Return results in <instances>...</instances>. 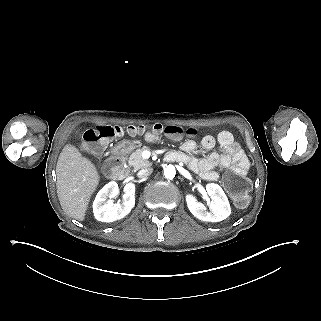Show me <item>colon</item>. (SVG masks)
Listing matches in <instances>:
<instances>
[{
  "mask_svg": "<svg viewBox=\"0 0 321 321\" xmlns=\"http://www.w3.org/2000/svg\"><path fill=\"white\" fill-rule=\"evenodd\" d=\"M155 134L166 133L177 137L184 133V130L175 125L162 126L155 124L152 127ZM144 132L143 126H128L126 128L117 125H99L96 128L87 130L83 135V148L91 153H99L103 150L105 143L115 137L124 134L137 135ZM186 134L194 136L197 134L195 128H189ZM223 185L239 207H245L249 203L250 180L246 173L232 171L224 176Z\"/></svg>",
  "mask_w": 321,
  "mask_h": 321,
  "instance_id": "1",
  "label": "colon"
}]
</instances>
